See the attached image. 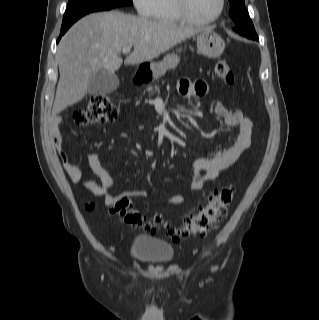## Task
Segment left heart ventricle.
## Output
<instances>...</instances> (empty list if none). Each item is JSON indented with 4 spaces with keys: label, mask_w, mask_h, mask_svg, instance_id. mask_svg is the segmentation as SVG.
<instances>
[{
    "label": "left heart ventricle",
    "mask_w": 319,
    "mask_h": 320,
    "mask_svg": "<svg viewBox=\"0 0 319 320\" xmlns=\"http://www.w3.org/2000/svg\"><path fill=\"white\" fill-rule=\"evenodd\" d=\"M190 12L197 19H209L216 15L219 0H188Z\"/></svg>",
    "instance_id": "b2bd125f"
}]
</instances>
